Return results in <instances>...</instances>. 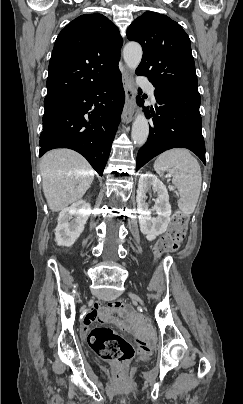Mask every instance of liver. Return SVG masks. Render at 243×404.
<instances>
[{
  "label": "liver",
  "instance_id": "6515ba94",
  "mask_svg": "<svg viewBox=\"0 0 243 404\" xmlns=\"http://www.w3.org/2000/svg\"><path fill=\"white\" fill-rule=\"evenodd\" d=\"M43 192L52 212L79 202L94 180L87 160L73 150H52L41 158Z\"/></svg>",
  "mask_w": 243,
  "mask_h": 404
}]
</instances>
